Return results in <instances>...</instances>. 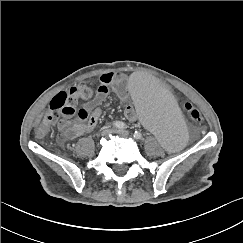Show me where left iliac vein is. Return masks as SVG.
<instances>
[{"label": "left iliac vein", "instance_id": "1", "mask_svg": "<svg viewBox=\"0 0 243 243\" xmlns=\"http://www.w3.org/2000/svg\"><path fill=\"white\" fill-rule=\"evenodd\" d=\"M114 133H117V134L122 135V136H128L129 135V132L127 130L115 129Z\"/></svg>", "mask_w": 243, "mask_h": 243}]
</instances>
